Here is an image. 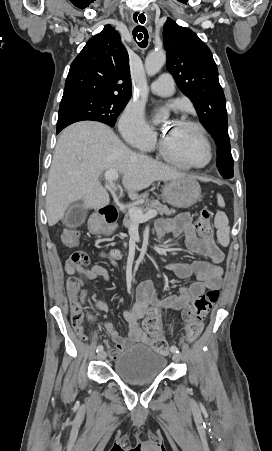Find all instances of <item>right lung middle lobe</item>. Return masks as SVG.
<instances>
[{"instance_id":"dd1d6c3e","label":"right lung middle lobe","mask_w":272,"mask_h":451,"mask_svg":"<svg viewBox=\"0 0 272 451\" xmlns=\"http://www.w3.org/2000/svg\"><path fill=\"white\" fill-rule=\"evenodd\" d=\"M128 101L129 99L96 96L61 101L57 130L83 120L99 121L113 127Z\"/></svg>"}]
</instances>
